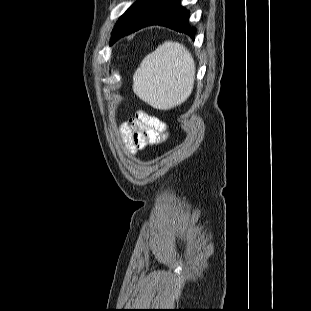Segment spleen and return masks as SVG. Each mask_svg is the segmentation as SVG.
<instances>
[{
    "instance_id": "1",
    "label": "spleen",
    "mask_w": 311,
    "mask_h": 311,
    "mask_svg": "<svg viewBox=\"0 0 311 311\" xmlns=\"http://www.w3.org/2000/svg\"><path fill=\"white\" fill-rule=\"evenodd\" d=\"M195 63L188 49L166 41L148 54L133 75V91L153 108L169 110L190 96Z\"/></svg>"
}]
</instances>
